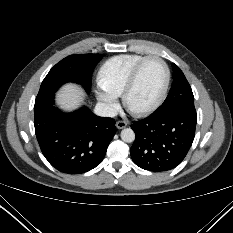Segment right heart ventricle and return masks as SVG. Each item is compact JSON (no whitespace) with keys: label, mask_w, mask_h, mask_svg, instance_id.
I'll use <instances>...</instances> for the list:
<instances>
[{"label":"right heart ventricle","mask_w":233,"mask_h":233,"mask_svg":"<svg viewBox=\"0 0 233 233\" xmlns=\"http://www.w3.org/2000/svg\"><path fill=\"white\" fill-rule=\"evenodd\" d=\"M144 57L140 54H121L109 58L98 71V85L104 91L121 95L131 70Z\"/></svg>","instance_id":"obj_1"}]
</instances>
